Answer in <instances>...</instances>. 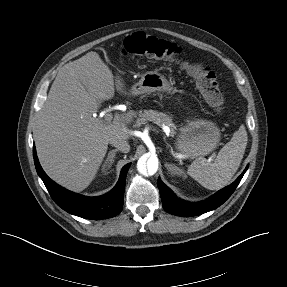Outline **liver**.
Masks as SVG:
<instances>
[{
    "label": "liver",
    "instance_id": "1",
    "mask_svg": "<svg viewBox=\"0 0 287 287\" xmlns=\"http://www.w3.org/2000/svg\"><path fill=\"white\" fill-rule=\"evenodd\" d=\"M114 76L96 52L65 64L58 72L37 120L35 145L47 175L61 186L80 192L95 178L111 137L129 139L123 129L135 113L116 115L112 123L96 117L101 102L113 98ZM115 85V86H114Z\"/></svg>",
    "mask_w": 287,
    "mask_h": 287
}]
</instances>
